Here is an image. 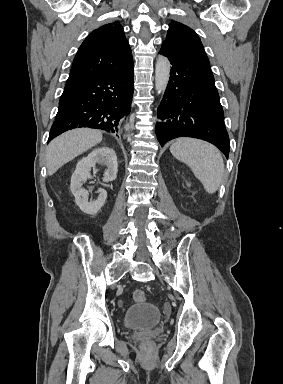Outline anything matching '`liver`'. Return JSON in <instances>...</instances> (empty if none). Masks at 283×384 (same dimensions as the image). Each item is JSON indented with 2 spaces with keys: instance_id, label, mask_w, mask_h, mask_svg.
Wrapping results in <instances>:
<instances>
[{
  "instance_id": "1",
  "label": "liver",
  "mask_w": 283,
  "mask_h": 384,
  "mask_svg": "<svg viewBox=\"0 0 283 384\" xmlns=\"http://www.w3.org/2000/svg\"><path fill=\"white\" fill-rule=\"evenodd\" d=\"M102 138L100 130L77 128V130H70L52 140L46 152L48 176H52L61 166L100 144Z\"/></svg>"
}]
</instances>
